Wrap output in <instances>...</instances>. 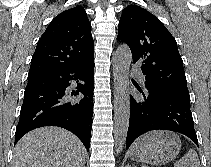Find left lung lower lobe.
<instances>
[{
  "label": "left lung lower lobe",
  "instance_id": "0a47b994",
  "mask_svg": "<svg viewBox=\"0 0 211 167\" xmlns=\"http://www.w3.org/2000/svg\"><path fill=\"white\" fill-rule=\"evenodd\" d=\"M138 90L140 97L130 95L127 149L137 137L151 130L179 132L198 145L189 102L155 89Z\"/></svg>",
  "mask_w": 211,
  "mask_h": 167
}]
</instances>
